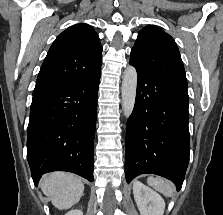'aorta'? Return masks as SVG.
Returning <instances> with one entry per match:
<instances>
[{
    "label": "aorta",
    "mask_w": 223,
    "mask_h": 215,
    "mask_svg": "<svg viewBox=\"0 0 223 215\" xmlns=\"http://www.w3.org/2000/svg\"><path fill=\"white\" fill-rule=\"evenodd\" d=\"M137 88V72L133 66H128L124 72L122 82V108L124 115L129 117L131 115L136 98Z\"/></svg>",
    "instance_id": "obj_1"
}]
</instances>
